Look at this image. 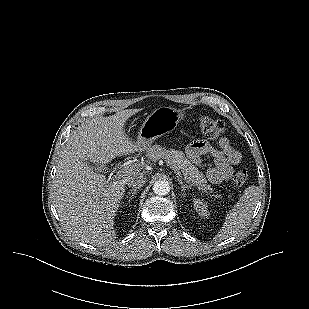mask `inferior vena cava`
<instances>
[{"instance_id":"inferior-vena-cava-1","label":"inferior vena cava","mask_w":309,"mask_h":309,"mask_svg":"<svg viewBox=\"0 0 309 309\" xmlns=\"http://www.w3.org/2000/svg\"><path fill=\"white\" fill-rule=\"evenodd\" d=\"M147 181L144 173L139 171L133 172L130 176L126 177L125 184L133 188H141Z\"/></svg>"}]
</instances>
